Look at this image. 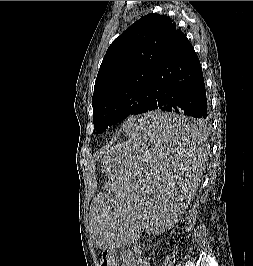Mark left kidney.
<instances>
[{
  "label": "left kidney",
  "mask_w": 253,
  "mask_h": 266,
  "mask_svg": "<svg viewBox=\"0 0 253 266\" xmlns=\"http://www.w3.org/2000/svg\"><path fill=\"white\" fill-rule=\"evenodd\" d=\"M176 221V218L174 217L173 220H172V223Z\"/></svg>",
  "instance_id": "obj_1"
}]
</instances>
